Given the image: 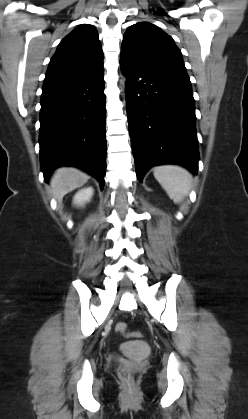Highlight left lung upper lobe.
I'll list each match as a JSON object with an SVG mask.
<instances>
[{"instance_id": "5c2ea615", "label": "left lung upper lobe", "mask_w": 248, "mask_h": 419, "mask_svg": "<svg viewBox=\"0 0 248 419\" xmlns=\"http://www.w3.org/2000/svg\"><path fill=\"white\" fill-rule=\"evenodd\" d=\"M121 59L190 82L181 51L168 34L151 23L141 22L127 29L121 47Z\"/></svg>"}]
</instances>
